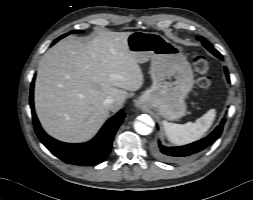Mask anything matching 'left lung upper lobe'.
<instances>
[{
    "mask_svg": "<svg viewBox=\"0 0 253 200\" xmlns=\"http://www.w3.org/2000/svg\"><path fill=\"white\" fill-rule=\"evenodd\" d=\"M197 39H198L199 41H201L202 44H203L212 54H214V55H215L216 57H218V58H222L221 54H220L217 50H215V49L213 48V46L211 45V43L208 42V41H206L205 38L199 37V36H198Z\"/></svg>",
    "mask_w": 253,
    "mask_h": 200,
    "instance_id": "left-lung-upper-lobe-1",
    "label": "left lung upper lobe"
}]
</instances>
